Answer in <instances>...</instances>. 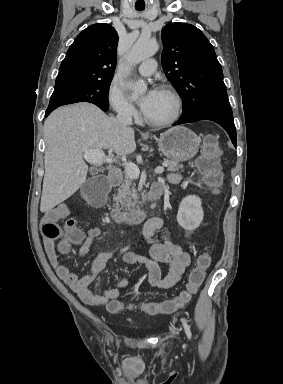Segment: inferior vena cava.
Segmentation results:
<instances>
[{
    "label": "inferior vena cava",
    "instance_id": "602c4592",
    "mask_svg": "<svg viewBox=\"0 0 283 384\" xmlns=\"http://www.w3.org/2000/svg\"><path fill=\"white\" fill-rule=\"evenodd\" d=\"M133 110L130 104H121L117 108V120L121 126H131Z\"/></svg>",
    "mask_w": 283,
    "mask_h": 384
}]
</instances>
